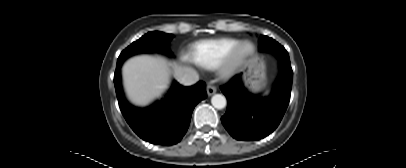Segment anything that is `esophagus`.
Instances as JSON below:
<instances>
[{
    "label": "esophagus",
    "instance_id": "1",
    "mask_svg": "<svg viewBox=\"0 0 406 168\" xmlns=\"http://www.w3.org/2000/svg\"><path fill=\"white\" fill-rule=\"evenodd\" d=\"M206 90H207L208 96L213 95L217 91L216 87L214 85H211V84L207 85Z\"/></svg>",
    "mask_w": 406,
    "mask_h": 168
}]
</instances>
